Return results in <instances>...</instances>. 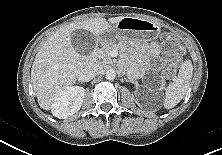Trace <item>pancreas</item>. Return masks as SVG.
Here are the masks:
<instances>
[{
    "mask_svg": "<svg viewBox=\"0 0 222 155\" xmlns=\"http://www.w3.org/2000/svg\"><path fill=\"white\" fill-rule=\"evenodd\" d=\"M118 49L116 45L107 46L101 49H97L94 52V57L101 59L103 64H112V58L110 56V52L112 50ZM138 72H140V69L133 63H130V68L128 70L129 76H135Z\"/></svg>",
    "mask_w": 222,
    "mask_h": 155,
    "instance_id": "cf45deb5",
    "label": "pancreas"
}]
</instances>
